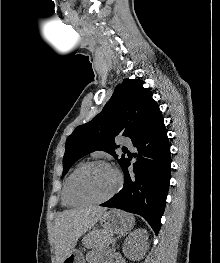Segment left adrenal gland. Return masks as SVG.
I'll return each mask as SVG.
<instances>
[{"mask_svg":"<svg viewBox=\"0 0 220 263\" xmlns=\"http://www.w3.org/2000/svg\"><path fill=\"white\" fill-rule=\"evenodd\" d=\"M116 240H117V238H115V239L113 240V243H112V249H113V251H115Z\"/></svg>","mask_w":220,"mask_h":263,"instance_id":"left-adrenal-gland-1","label":"left adrenal gland"}]
</instances>
